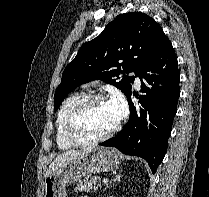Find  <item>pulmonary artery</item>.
<instances>
[{
  "instance_id": "obj_1",
  "label": "pulmonary artery",
  "mask_w": 209,
  "mask_h": 197,
  "mask_svg": "<svg viewBox=\"0 0 209 197\" xmlns=\"http://www.w3.org/2000/svg\"><path fill=\"white\" fill-rule=\"evenodd\" d=\"M133 75H136V78H135V86L136 88H139L140 87V78L139 76L136 74V72H132Z\"/></svg>"
}]
</instances>
